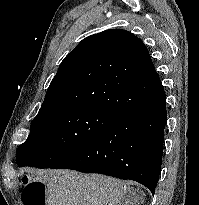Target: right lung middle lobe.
I'll list each match as a JSON object with an SVG mask.
<instances>
[{
	"instance_id": "1",
	"label": "right lung middle lobe",
	"mask_w": 199,
	"mask_h": 205,
	"mask_svg": "<svg viewBox=\"0 0 199 205\" xmlns=\"http://www.w3.org/2000/svg\"><path fill=\"white\" fill-rule=\"evenodd\" d=\"M117 115L93 106L39 111L27 140L16 151L19 167L50 168L93 141Z\"/></svg>"
}]
</instances>
